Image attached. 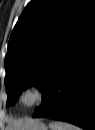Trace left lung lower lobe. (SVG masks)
Segmentation results:
<instances>
[{
    "label": "left lung lower lobe",
    "instance_id": "obj_1",
    "mask_svg": "<svg viewBox=\"0 0 95 130\" xmlns=\"http://www.w3.org/2000/svg\"><path fill=\"white\" fill-rule=\"evenodd\" d=\"M33 117L95 129V13L85 20L57 63Z\"/></svg>",
    "mask_w": 95,
    "mask_h": 130
}]
</instances>
